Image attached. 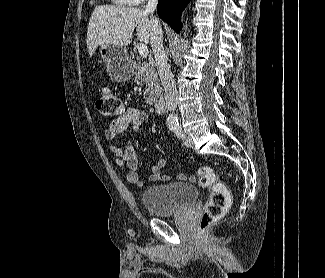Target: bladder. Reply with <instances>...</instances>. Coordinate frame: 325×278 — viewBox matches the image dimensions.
I'll list each match as a JSON object with an SVG mask.
<instances>
[{"label": "bladder", "instance_id": "obj_1", "mask_svg": "<svg viewBox=\"0 0 325 278\" xmlns=\"http://www.w3.org/2000/svg\"><path fill=\"white\" fill-rule=\"evenodd\" d=\"M198 197L196 187L187 182H173L148 187L141 194V202L153 217H164L183 212Z\"/></svg>", "mask_w": 325, "mask_h": 278}]
</instances>
